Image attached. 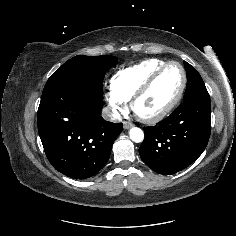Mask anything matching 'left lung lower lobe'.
I'll list each match as a JSON object with an SVG mask.
<instances>
[{
	"instance_id": "1",
	"label": "left lung lower lobe",
	"mask_w": 236,
	"mask_h": 236,
	"mask_svg": "<svg viewBox=\"0 0 236 236\" xmlns=\"http://www.w3.org/2000/svg\"><path fill=\"white\" fill-rule=\"evenodd\" d=\"M210 115V96L203 93L184 100L156 126L144 127L145 139L139 148L143 162L164 175L188 167L207 146Z\"/></svg>"
}]
</instances>
